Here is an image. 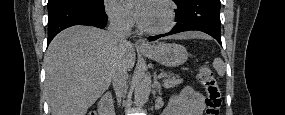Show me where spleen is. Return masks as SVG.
I'll use <instances>...</instances> for the list:
<instances>
[{"mask_svg": "<svg viewBox=\"0 0 285 115\" xmlns=\"http://www.w3.org/2000/svg\"><path fill=\"white\" fill-rule=\"evenodd\" d=\"M213 67L220 76L225 74V64L222 59L216 58L213 62Z\"/></svg>", "mask_w": 285, "mask_h": 115, "instance_id": "3e777b00", "label": "spleen"}]
</instances>
